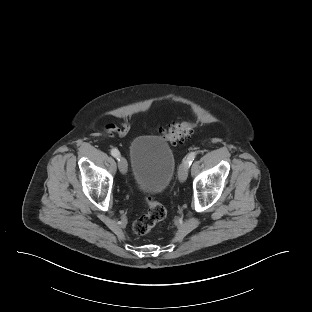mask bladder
Wrapping results in <instances>:
<instances>
[{
  "instance_id": "obj_1",
  "label": "bladder",
  "mask_w": 312,
  "mask_h": 312,
  "mask_svg": "<svg viewBox=\"0 0 312 312\" xmlns=\"http://www.w3.org/2000/svg\"><path fill=\"white\" fill-rule=\"evenodd\" d=\"M132 178L142 194L163 192L175 172V156L168 142L155 135H142L130 144Z\"/></svg>"
}]
</instances>
